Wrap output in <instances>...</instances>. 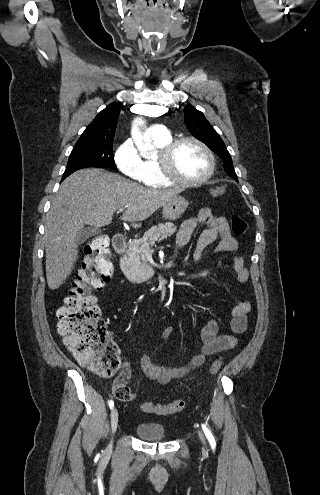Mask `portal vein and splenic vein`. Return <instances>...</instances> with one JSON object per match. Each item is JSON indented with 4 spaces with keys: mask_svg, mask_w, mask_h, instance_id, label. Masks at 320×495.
Listing matches in <instances>:
<instances>
[{
    "mask_svg": "<svg viewBox=\"0 0 320 495\" xmlns=\"http://www.w3.org/2000/svg\"><path fill=\"white\" fill-rule=\"evenodd\" d=\"M123 210H124V208H119V209H118V211H117V213H120V212H122ZM149 251H151V249H147V250H146V252H149Z\"/></svg>",
    "mask_w": 320,
    "mask_h": 495,
    "instance_id": "portal-vein-and-splenic-vein-1",
    "label": "portal vein and splenic vein"
}]
</instances>
